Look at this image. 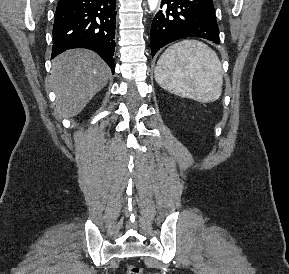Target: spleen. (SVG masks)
I'll use <instances>...</instances> for the list:
<instances>
[{
  "instance_id": "obj_1",
  "label": "spleen",
  "mask_w": 289,
  "mask_h": 274,
  "mask_svg": "<svg viewBox=\"0 0 289 274\" xmlns=\"http://www.w3.org/2000/svg\"><path fill=\"white\" fill-rule=\"evenodd\" d=\"M155 80L175 95L201 103L219 99L222 66L217 54L206 44L183 40L170 46L155 67Z\"/></svg>"
}]
</instances>
